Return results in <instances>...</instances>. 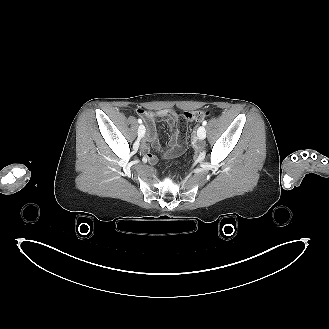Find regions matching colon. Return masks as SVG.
<instances>
[{"label": "colon", "instance_id": "5ec220e1", "mask_svg": "<svg viewBox=\"0 0 329 329\" xmlns=\"http://www.w3.org/2000/svg\"><path fill=\"white\" fill-rule=\"evenodd\" d=\"M184 113L186 122H200L205 117L209 116L208 111L201 110L184 111Z\"/></svg>", "mask_w": 329, "mask_h": 329}]
</instances>
